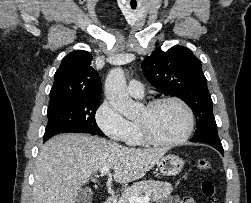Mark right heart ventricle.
Masks as SVG:
<instances>
[{"label":"right heart ventricle","mask_w":251,"mask_h":203,"mask_svg":"<svg viewBox=\"0 0 251 203\" xmlns=\"http://www.w3.org/2000/svg\"><path fill=\"white\" fill-rule=\"evenodd\" d=\"M125 141L132 146H138L144 143L137 123H131V130Z\"/></svg>","instance_id":"obj_1"}]
</instances>
